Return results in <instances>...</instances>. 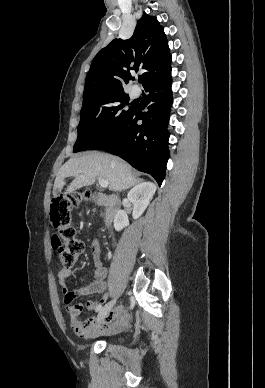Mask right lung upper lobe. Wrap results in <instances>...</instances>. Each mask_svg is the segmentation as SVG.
Returning a JSON list of instances; mask_svg holds the SVG:
<instances>
[{
  "label": "right lung upper lobe",
  "instance_id": "obj_1",
  "mask_svg": "<svg viewBox=\"0 0 265 388\" xmlns=\"http://www.w3.org/2000/svg\"><path fill=\"white\" fill-rule=\"evenodd\" d=\"M171 54L164 29L156 17L143 13L133 36L114 39L93 59L83 98L105 90H123L133 80L130 71L145 70L144 87L171 72Z\"/></svg>",
  "mask_w": 265,
  "mask_h": 388
}]
</instances>
